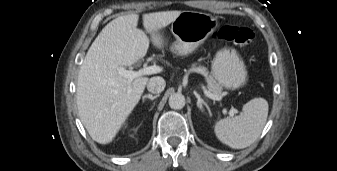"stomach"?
Listing matches in <instances>:
<instances>
[{"mask_svg":"<svg viewBox=\"0 0 337 171\" xmlns=\"http://www.w3.org/2000/svg\"><path fill=\"white\" fill-rule=\"evenodd\" d=\"M217 27V19L210 14L182 11L171 25V32L176 38L171 50L177 55H188ZM211 70L214 78L226 89L235 90L247 82L246 66L235 49L224 48L218 51Z\"/></svg>","mask_w":337,"mask_h":171,"instance_id":"1","label":"stomach"}]
</instances>
